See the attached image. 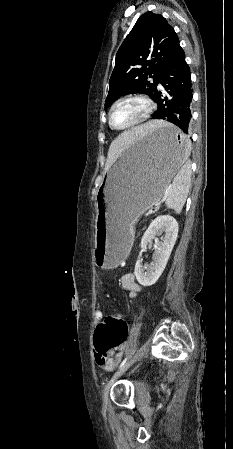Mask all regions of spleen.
Listing matches in <instances>:
<instances>
[{"instance_id":"3e777b00","label":"spleen","mask_w":233,"mask_h":449,"mask_svg":"<svg viewBox=\"0 0 233 449\" xmlns=\"http://www.w3.org/2000/svg\"><path fill=\"white\" fill-rule=\"evenodd\" d=\"M190 147V143H188L186 148L187 157L190 153ZM191 173V165L186 159L170 185L165 204L177 214L181 213L191 188Z\"/></svg>"}]
</instances>
